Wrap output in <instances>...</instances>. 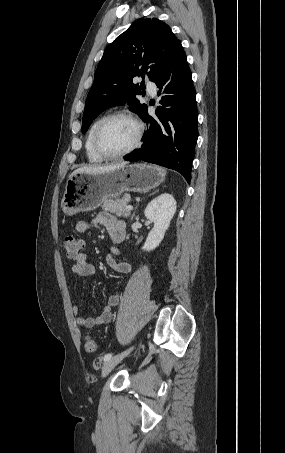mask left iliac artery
<instances>
[{
	"label": "left iliac artery",
	"mask_w": 285,
	"mask_h": 453,
	"mask_svg": "<svg viewBox=\"0 0 285 453\" xmlns=\"http://www.w3.org/2000/svg\"><path fill=\"white\" fill-rule=\"evenodd\" d=\"M111 357H112V353H108V354H106V355L103 357V360H104V361H107V360H109Z\"/></svg>",
	"instance_id": "obj_1"
}]
</instances>
